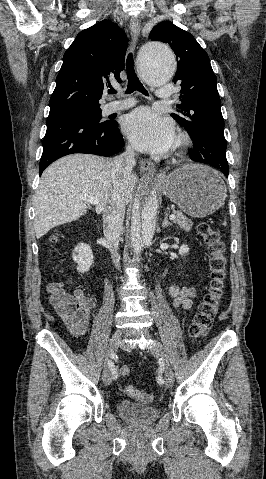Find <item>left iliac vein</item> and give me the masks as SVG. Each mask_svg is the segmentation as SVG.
<instances>
[{
  "mask_svg": "<svg viewBox=\"0 0 266 479\" xmlns=\"http://www.w3.org/2000/svg\"><path fill=\"white\" fill-rule=\"evenodd\" d=\"M145 335L150 338L151 335L147 332H145ZM150 349V352L154 355V356H157V357H161L163 359H165V353H164V349H163V346L161 343H159L158 341H153L152 344L150 345L149 347ZM165 377H164V383H165V386L167 388H172L173 384H174V374H173V371L172 369L170 368L169 364L168 363H165Z\"/></svg>",
  "mask_w": 266,
  "mask_h": 479,
  "instance_id": "obj_1",
  "label": "left iliac vein"
}]
</instances>
